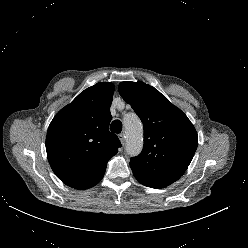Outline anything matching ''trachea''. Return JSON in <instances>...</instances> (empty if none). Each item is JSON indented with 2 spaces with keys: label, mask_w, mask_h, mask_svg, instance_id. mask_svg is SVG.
Wrapping results in <instances>:
<instances>
[{
  "label": "trachea",
  "mask_w": 248,
  "mask_h": 248,
  "mask_svg": "<svg viewBox=\"0 0 248 248\" xmlns=\"http://www.w3.org/2000/svg\"><path fill=\"white\" fill-rule=\"evenodd\" d=\"M110 130L114 133H121L122 131V122L120 120H114L111 123Z\"/></svg>",
  "instance_id": "obj_1"
}]
</instances>
